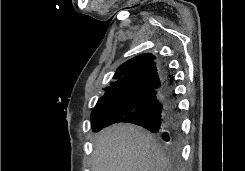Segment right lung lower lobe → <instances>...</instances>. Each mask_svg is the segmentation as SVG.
<instances>
[{
	"label": "right lung lower lobe",
	"instance_id": "98d812e1",
	"mask_svg": "<svg viewBox=\"0 0 245 171\" xmlns=\"http://www.w3.org/2000/svg\"><path fill=\"white\" fill-rule=\"evenodd\" d=\"M162 72L164 84L160 89L121 101L93 131L114 123L128 122L157 133L169 146L176 145L180 130L179 110L165 66Z\"/></svg>",
	"mask_w": 245,
	"mask_h": 171
}]
</instances>
